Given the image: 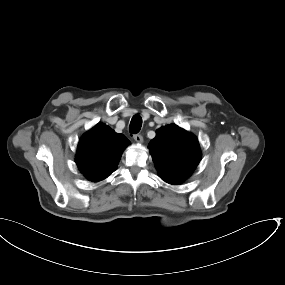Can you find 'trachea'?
<instances>
[{
  "mask_svg": "<svg viewBox=\"0 0 285 285\" xmlns=\"http://www.w3.org/2000/svg\"><path fill=\"white\" fill-rule=\"evenodd\" d=\"M141 126H142V118L139 115L133 116L129 126L130 132L133 134L138 133L141 129Z\"/></svg>",
  "mask_w": 285,
  "mask_h": 285,
  "instance_id": "1",
  "label": "trachea"
}]
</instances>
